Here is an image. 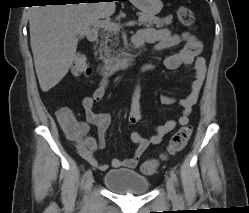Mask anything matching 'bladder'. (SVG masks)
Listing matches in <instances>:
<instances>
[{
    "instance_id": "bladder-1",
    "label": "bladder",
    "mask_w": 249,
    "mask_h": 213,
    "mask_svg": "<svg viewBox=\"0 0 249 213\" xmlns=\"http://www.w3.org/2000/svg\"><path fill=\"white\" fill-rule=\"evenodd\" d=\"M104 186L119 195H143L150 188L148 178L131 169H114L105 174Z\"/></svg>"
}]
</instances>
